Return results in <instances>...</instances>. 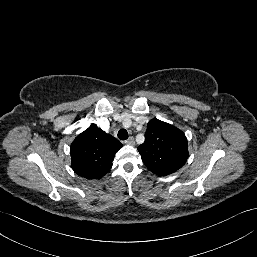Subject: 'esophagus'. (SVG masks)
<instances>
[{"instance_id":"obj_1","label":"esophagus","mask_w":257,"mask_h":257,"mask_svg":"<svg viewBox=\"0 0 257 257\" xmlns=\"http://www.w3.org/2000/svg\"><path fill=\"white\" fill-rule=\"evenodd\" d=\"M125 143L127 144V145H135V140H134V138L133 137H130L129 139H127L126 141H125Z\"/></svg>"}]
</instances>
